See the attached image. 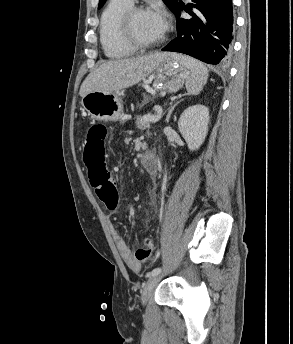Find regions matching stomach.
Listing matches in <instances>:
<instances>
[{
  "mask_svg": "<svg viewBox=\"0 0 293 344\" xmlns=\"http://www.w3.org/2000/svg\"><path fill=\"white\" fill-rule=\"evenodd\" d=\"M191 70L174 55L164 58L147 76V83L160 91L176 92L190 78ZM88 115L97 121H118L123 113L122 92L95 91L86 94L81 101Z\"/></svg>",
  "mask_w": 293,
  "mask_h": 344,
  "instance_id": "stomach-1",
  "label": "stomach"
}]
</instances>
